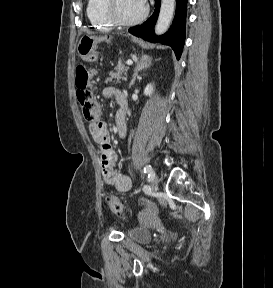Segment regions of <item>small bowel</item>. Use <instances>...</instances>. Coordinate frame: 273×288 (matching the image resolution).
<instances>
[{
    "label": "small bowel",
    "mask_w": 273,
    "mask_h": 288,
    "mask_svg": "<svg viewBox=\"0 0 273 288\" xmlns=\"http://www.w3.org/2000/svg\"><path fill=\"white\" fill-rule=\"evenodd\" d=\"M105 98L114 97L119 103L122 92L116 87H107L103 90ZM126 121L119 118V112L116 115V130L120 137L126 134ZM89 131L93 139L98 143L101 157V169L105 181L120 192H127L132 187L131 179L119 172L117 169L116 153L110 143V134L106 123L97 121L89 124Z\"/></svg>",
    "instance_id": "small-bowel-1"
}]
</instances>
